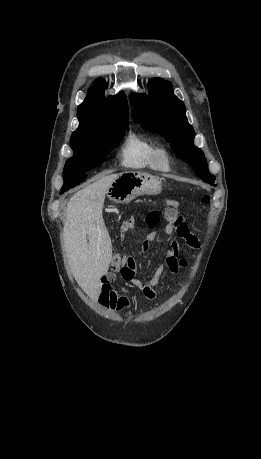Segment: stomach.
Masks as SVG:
<instances>
[{
  "label": "stomach",
  "instance_id": "stomach-1",
  "mask_svg": "<svg viewBox=\"0 0 261 459\" xmlns=\"http://www.w3.org/2000/svg\"><path fill=\"white\" fill-rule=\"evenodd\" d=\"M160 192L161 184L156 177L137 171L118 174L107 190L108 196L116 203H129L138 196Z\"/></svg>",
  "mask_w": 261,
  "mask_h": 459
}]
</instances>
